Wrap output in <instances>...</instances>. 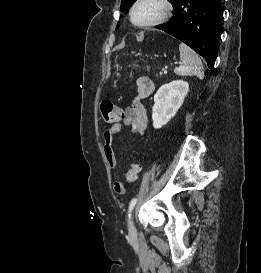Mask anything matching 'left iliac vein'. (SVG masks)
<instances>
[{
  "mask_svg": "<svg viewBox=\"0 0 261 273\" xmlns=\"http://www.w3.org/2000/svg\"><path fill=\"white\" fill-rule=\"evenodd\" d=\"M128 230H129V234L131 236H134L136 234V229H135L134 222H133V216H131L128 221Z\"/></svg>",
  "mask_w": 261,
  "mask_h": 273,
  "instance_id": "4c4485c4",
  "label": "left iliac vein"
}]
</instances>
